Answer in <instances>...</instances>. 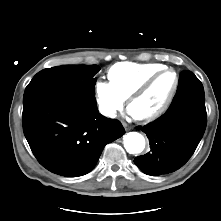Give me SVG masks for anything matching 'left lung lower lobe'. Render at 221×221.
Listing matches in <instances>:
<instances>
[{
  "mask_svg": "<svg viewBox=\"0 0 221 221\" xmlns=\"http://www.w3.org/2000/svg\"><path fill=\"white\" fill-rule=\"evenodd\" d=\"M207 123L202 83L189 71L180 74L176 95L159 119L140 129L149 138L150 152L134 159L147 175L156 176L182 167L198 146Z\"/></svg>",
  "mask_w": 221,
  "mask_h": 221,
  "instance_id": "0a47b994",
  "label": "left lung lower lobe"
}]
</instances>
